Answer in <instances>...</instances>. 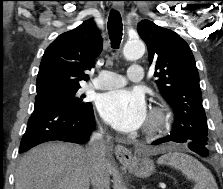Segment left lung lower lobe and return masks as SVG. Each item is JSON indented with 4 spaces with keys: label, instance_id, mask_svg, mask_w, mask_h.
Here are the masks:
<instances>
[{
    "label": "left lung lower lobe",
    "instance_id": "1",
    "mask_svg": "<svg viewBox=\"0 0 223 189\" xmlns=\"http://www.w3.org/2000/svg\"><path fill=\"white\" fill-rule=\"evenodd\" d=\"M169 141H173L175 142L174 140L166 137V138H161V139H158L154 142H152V145H159L161 143H165V142H169ZM188 147L194 151L195 153L203 156V157H206L209 155V151H208V148L207 146H203V145H199V144H196L194 142H190L188 143Z\"/></svg>",
    "mask_w": 223,
    "mask_h": 189
}]
</instances>
